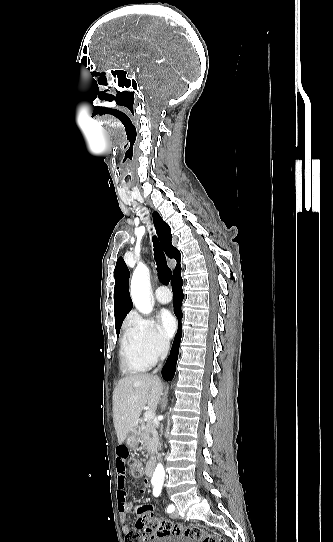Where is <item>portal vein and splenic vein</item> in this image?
Wrapping results in <instances>:
<instances>
[{
    "label": "portal vein and splenic vein",
    "instance_id": "18ae733b",
    "mask_svg": "<svg viewBox=\"0 0 333 542\" xmlns=\"http://www.w3.org/2000/svg\"><path fill=\"white\" fill-rule=\"evenodd\" d=\"M146 420H153L154 416H155V410H147V412H145L144 414Z\"/></svg>",
    "mask_w": 333,
    "mask_h": 542
}]
</instances>
